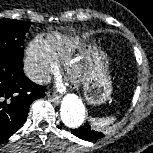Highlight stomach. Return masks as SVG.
I'll use <instances>...</instances> for the list:
<instances>
[{
    "label": "stomach",
    "instance_id": "1",
    "mask_svg": "<svg viewBox=\"0 0 153 153\" xmlns=\"http://www.w3.org/2000/svg\"><path fill=\"white\" fill-rule=\"evenodd\" d=\"M89 70L83 82L86 100L100 105L110 99L112 84L105 64V55L96 47L88 55Z\"/></svg>",
    "mask_w": 153,
    "mask_h": 153
}]
</instances>
